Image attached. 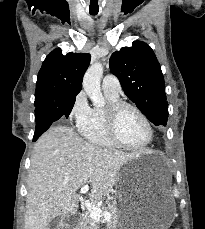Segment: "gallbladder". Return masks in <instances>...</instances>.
Segmentation results:
<instances>
[{"instance_id":"gallbladder-1","label":"gallbladder","mask_w":205,"mask_h":229,"mask_svg":"<svg viewBox=\"0 0 205 229\" xmlns=\"http://www.w3.org/2000/svg\"><path fill=\"white\" fill-rule=\"evenodd\" d=\"M69 219H63L62 216H57L51 220L48 229H67Z\"/></svg>"}]
</instances>
